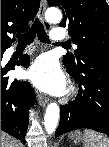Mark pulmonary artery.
<instances>
[{
    "label": "pulmonary artery",
    "instance_id": "obj_1",
    "mask_svg": "<svg viewBox=\"0 0 109 147\" xmlns=\"http://www.w3.org/2000/svg\"><path fill=\"white\" fill-rule=\"evenodd\" d=\"M50 38L58 44H63L66 39V35L62 32H51Z\"/></svg>",
    "mask_w": 109,
    "mask_h": 147
}]
</instances>
